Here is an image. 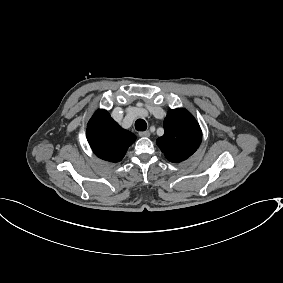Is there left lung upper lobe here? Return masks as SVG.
<instances>
[{"mask_svg": "<svg viewBox=\"0 0 283 283\" xmlns=\"http://www.w3.org/2000/svg\"><path fill=\"white\" fill-rule=\"evenodd\" d=\"M202 132L198 122L185 109L170 110L164 120V135L156 141L168 161L179 163L199 147Z\"/></svg>", "mask_w": 283, "mask_h": 283, "instance_id": "1", "label": "left lung upper lobe"}]
</instances>
